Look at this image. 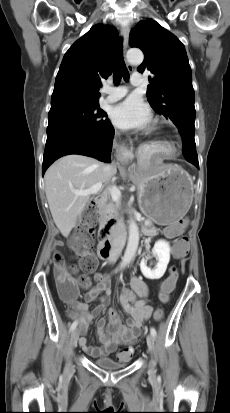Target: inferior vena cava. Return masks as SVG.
I'll return each mask as SVG.
<instances>
[{"label": "inferior vena cava", "mask_w": 230, "mask_h": 413, "mask_svg": "<svg viewBox=\"0 0 230 413\" xmlns=\"http://www.w3.org/2000/svg\"><path fill=\"white\" fill-rule=\"evenodd\" d=\"M104 173L112 176L116 173V168L113 164H107L103 167ZM126 241V230L123 219H118L116 223V242L113 245V248L110 252L109 262L115 263L119 258L122 248L125 245Z\"/></svg>", "instance_id": "inferior-vena-cava-1"}]
</instances>
